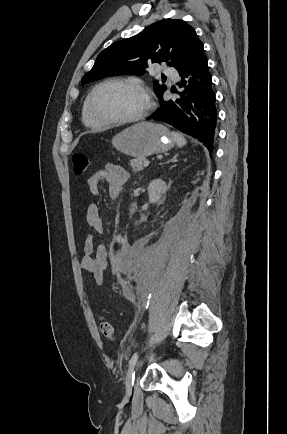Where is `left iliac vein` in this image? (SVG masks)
Masks as SVG:
<instances>
[{
  "instance_id": "left-iliac-vein-1",
  "label": "left iliac vein",
  "mask_w": 287,
  "mask_h": 434,
  "mask_svg": "<svg viewBox=\"0 0 287 434\" xmlns=\"http://www.w3.org/2000/svg\"><path fill=\"white\" fill-rule=\"evenodd\" d=\"M132 381H133V368H130L125 380V385H126V391L127 393L130 392L131 386H132Z\"/></svg>"
}]
</instances>
